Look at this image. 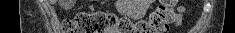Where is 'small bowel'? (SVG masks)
<instances>
[{
    "label": "small bowel",
    "mask_w": 235,
    "mask_h": 33,
    "mask_svg": "<svg viewBox=\"0 0 235 33\" xmlns=\"http://www.w3.org/2000/svg\"><path fill=\"white\" fill-rule=\"evenodd\" d=\"M150 2H151L150 0L134 1L132 3V5H130V4L120 5V9L124 12L134 11L136 14L137 13H143L144 11H146V9L149 6ZM177 11H178V13L175 15V18L172 22V24L175 27H179L181 25L182 18H183V13H184L185 10L182 6H178Z\"/></svg>",
    "instance_id": "obj_1"
}]
</instances>
